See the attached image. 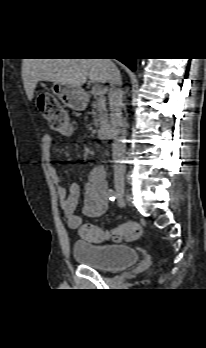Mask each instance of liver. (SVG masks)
<instances>
[{"instance_id": "obj_1", "label": "liver", "mask_w": 206, "mask_h": 348, "mask_svg": "<svg viewBox=\"0 0 206 348\" xmlns=\"http://www.w3.org/2000/svg\"><path fill=\"white\" fill-rule=\"evenodd\" d=\"M109 73L106 59H23L22 62L24 89L30 101L39 81L80 88L87 78L93 83L108 82Z\"/></svg>"}]
</instances>
